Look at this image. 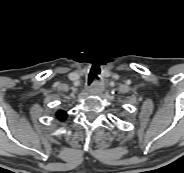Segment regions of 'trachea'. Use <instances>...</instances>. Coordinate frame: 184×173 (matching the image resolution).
Instances as JSON below:
<instances>
[{"label": "trachea", "mask_w": 184, "mask_h": 173, "mask_svg": "<svg viewBox=\"0 0 184 173\" xmlns=\"http://www.w3.org/2000/svg\"><path fill=\"white\" fill-rule=\"evenodd\" d=\"M95 77H96V74L90 73L89 78H88V85H90L93 81H96L98 79L97 77L95 79Z\"/></svg>", "instance_id": "3493384b"}]
</instances>
